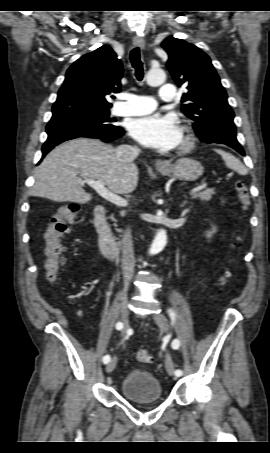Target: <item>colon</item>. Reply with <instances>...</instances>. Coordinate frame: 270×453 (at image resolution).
<instances>
[{"mask_svg":"<svg viewBox=\"0 0 270 453\" xmlns=\"http://www.w3.org/2000/svg\"><path fill=\"white\" fill-rule=\"evenodd\" d=\"M234 188L242 210H247L251 204L247 185L242 181H237ZM79 212L80 206L77 203L69 202L62 205L52 217L45 232V271L49 282H55L59 277L61 266L65 262L63 240L70 231V225L78 218ZM239 241L240 238H237L235 245ZM228 278L229 274L226 273L221 280L222 284H225ZM136 359L140 364L145 365L151 363L152 356L147 350L141 349L137 351Z\"/></svg>","mask_w":270,"mask_h":453,"instance_id":"5ec220e1","label":"colon"}]
</instances>
